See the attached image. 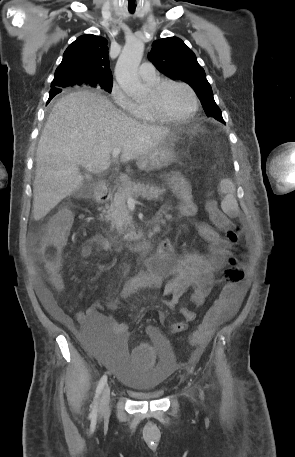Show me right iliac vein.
Listing matches in <instances>:
<instances>
[{"label": "right iliac vein", "mask_w": 295, "mask_h": 457, "mask_svg": "<svg viewBox=\"0 0 295 457\" xmlns=\"http://www.w3.org/2000/svg\"><path fill=\"white\" fill-rule=\"evenodd\" d=\"M109 402H110V387L108 385L105 386L101 398L99 400V413H106L109 410Z\"/></svg>", "instance_id": "right-iliac-vein-1"}]
</instances>
